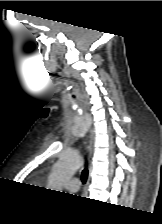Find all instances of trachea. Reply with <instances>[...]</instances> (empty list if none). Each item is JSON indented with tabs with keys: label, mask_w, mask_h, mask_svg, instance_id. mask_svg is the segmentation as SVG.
<instances>
[{
	"label": "trachea",
	"mask_w": 162,
	"mask_h": 224,
	"mask_svg": "<svg viewBox=\"0 0 162 224\" xmlns=\"http://www.w3.org/2000/svg\"><path fill=\"white\" fill-rule=\"evenodd\" d=\"M87 177H88V169L85 168L83 171H82V174H81V179H82V182L85 183L87 181Z\"/></svg>",
	"instance_id": "1"
}]
</instances>
